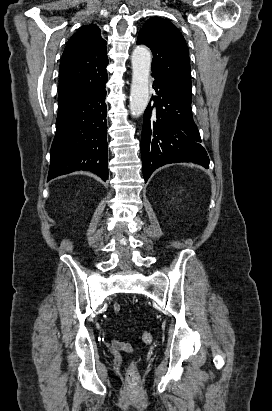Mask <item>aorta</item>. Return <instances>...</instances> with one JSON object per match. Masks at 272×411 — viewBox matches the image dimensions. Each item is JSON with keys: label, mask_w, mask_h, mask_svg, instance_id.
<instances>
[{"label": "aorta", "mask_w": 272, "mask_h": 411, "mask_svg": "<svg viewBox=\"0 0 272 411\" xmlns=\"http://www.w3.org/2000/svg\"><path fill=\"white\" fill-rule=\"evenodd\" d=\"M151 54L146 47L138 46L132 53V84L130 91V111L139 117L149 101V75Z\"/></svg>", "instance_id": "obj_1"}]
</instances>
